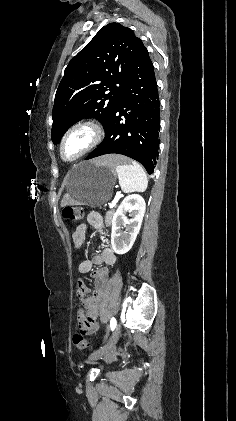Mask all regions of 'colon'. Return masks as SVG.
Masks as SVG:
<instances>
[{
	"label": "colon",
	"mask_w": 236,
	"mask_h": 421,
	"mask_svg": "<svg viewBox=\"0 0 236 421\" xmlns=\"http://www.w3.org/2000/svg\"><path fill=\"white\" fill-rule=\"evenodd\" d=\"M83 209L78 206H67L63 209L62 215L69 222L76 223L83 218ZM85 267V266H84ZM80 324H85L84 320H79ZM73 343L79 350H87L90 346L89 343L83 338L80 333H76L73 336Z\"/></svg>",
	"instance_id": "5ec220e1"
}]
</instances>
